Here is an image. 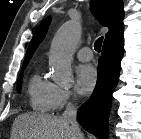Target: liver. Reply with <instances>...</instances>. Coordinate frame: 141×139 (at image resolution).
<instances>
[{"mask_svg":"<svg viewBox=\"0 0 141 139\" xmlns=\"http://www.w3.org/2000/svg\"><path fill=\"white\" fill-rule=\"evenodd\" d=\"M76 137L70 123L62 116L37 112L24 113L15 118L11 132V139H77Z\"/></svg>","mask_w":141,"mask_h":139,"instance_id":"obj_1","label":"liver"}]
</instances>
